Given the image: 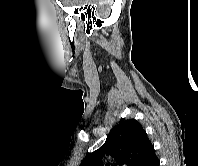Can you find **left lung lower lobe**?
I'll list each match as a JSON object with an SVG mask.
<instances>
[{"label":"left lung lower lobe","instance_id":"obj_1","mask_svg":"<svg viewBox=\"0 0 198 166\" xmlns=\"http://www.w3.org/2000/svg\"><path fill=\"white\" fill-rule=\"evenodd\" d=\"M147 166H160V161L158 157L156 156V154L153 155V157L151 158Z\"/></svg>","mask_w":198,"mask_h":166}]
</instances>
